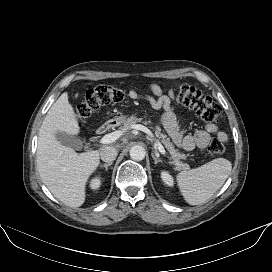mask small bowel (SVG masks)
I'll use <instances>...</instances> for the list:
<instances>
[{
    "label": "small bowel",
    "instance_id": "1",
    "mask_svg": "<svg viewBox=\"0 0 272 272\" xmlns=\"http://www.w3.org/2000/svg\"><path fill=\"white\" fill-rule=\"evenodd\" d=\"M151 91L149 94H140L136 89L129 90V97L134 100H144L154 109H163L164 113L161 119L162 125L173 142L185 151H192L195 148L204 149L207 147L214 135L222 142L227 141V134L221 131L214 122H208L203 130L193 134L185 135L181 125V120L177 116L172 105L174 100L173 91L165 92L163 88L156 83L148 85Z\"/></svg>",
    "mask_w": 272,
    "mask_h": 272
}]
</instances>
